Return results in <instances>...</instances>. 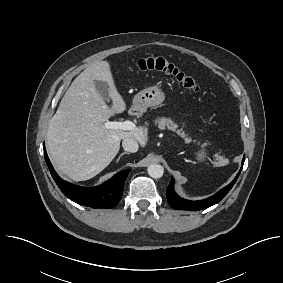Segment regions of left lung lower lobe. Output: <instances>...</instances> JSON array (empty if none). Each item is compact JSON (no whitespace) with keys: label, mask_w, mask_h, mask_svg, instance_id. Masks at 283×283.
Masks as SVG:
<instances>
[{"label":"left lung lower lobe","mask_w":283,"mask_h":283,"mask_svg":"<svg viewBox=\"0 0 283 283\" xmlns=\"http://www.w3.org/2000/svg\"><path fill=\"white\" fill-rule=\"evenodd\" d=\"M244 160H245V157L243 158V161H242V167L244 164ZM242 167L240 171L238 172L237 176L235 177V179L228 186L220 190L215 195L207 199L199 200V201H190V200H185V199L180 198L174 191V180L173 178H171V182L169 186L167 187V191H166L167 200L169 204L176 210H194L196 211V210H202L210 206H213L219 201H221L226 196V194L230 191V189L233 187L234 183L236 182L242 170Z\"/></svg>","instance_id":"left-lung-lower-lobe-1"}]
</instances>
